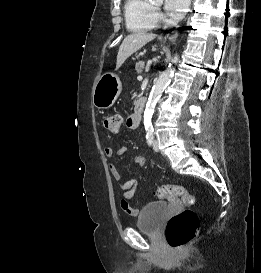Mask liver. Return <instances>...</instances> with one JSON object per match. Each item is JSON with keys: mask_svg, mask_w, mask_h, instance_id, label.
I'll return each mask as SVG.
<instances>
[{"mask_svg": "<svg viewBox=\"0 0 261 273\" xmlns=\"http://www.w3.org/2000/svg\"><path fill=\"white\" fill-rule=\"evenodd\" d=\"M155 38V34L145 32H136L126 36L119 47L116 68H120L128 57Z\"/></svg>", "mask_w": 261, "mask_h": 273, "instance_id": "liver-1", "label": "liver"}]
</instances>
